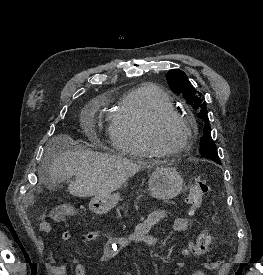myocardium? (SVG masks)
<instances>
[{"label": "myocardium", "mask_w": 263, "mask_h": 275, "mask_svg": "<svg viewBox=\"0 0 263 275\" xmlns=\"http://www.w3.org/2000/svg\"><path fill=\"white\" fill-rule=\"evenodd\" d=\"M169 119H177L181 121L187 128V137L183 144L179 147L168 149L160 145L157 140V130L162 123ZM196 124L192 117L179 112L175 109H163L154 114L147 123L146 126V139L152 150L159 156H173L187 151L193 142L195 137Z\"/></svg>", "instance_id": "f54148a6"}]
</instances>
